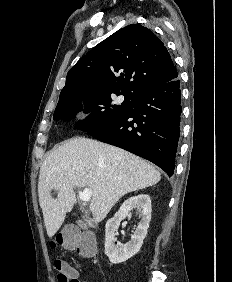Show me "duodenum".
Wrapping results in <instances>:
<instances>
[{
    "mask_svg": "<svg viewBox=\"0 0 232 282\" xmlns=\"http://www.w3.org/2000/svg\"><path fill=\"white\" fill-rule=\"evenodd\" d=\"M79 226L81 227V228H85V225L83 224V223H79Z\"/></svg>",
    "mask_w": 232,
    "mask_h": 282,
    "instance_id": "obj_1",
    "label": "duodenum"
}]
</instances>
